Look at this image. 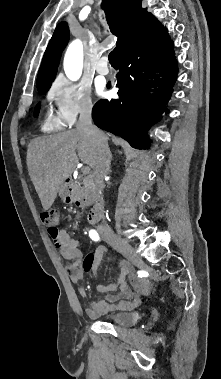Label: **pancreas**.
Returning <instances> with one entry per match:
<instances>
[{
    "instance_id": "pancreas-1",
    "label": "pancreas",
    "mask_w": 221,
    "mask_h": 379,
    "mask_svg": "<svg viewBox=\"0 0 221 379\" xmlns=\"http://www.w3.org/2000/svg\"><path fill=\"white\" fill-rule=\"evenodd\" d=\"M82 184L84 186L83 187L78 186V188H77V194L80 197H85L86 199L92 200L94 198V194H95V187H94L92 178L91 177H86L83 180Z\"/></svg>"
}]
</instances>
